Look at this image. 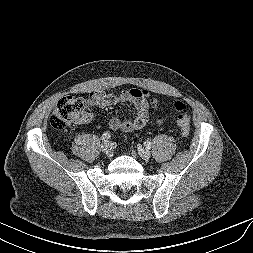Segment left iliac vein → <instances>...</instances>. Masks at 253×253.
Here are the masks:
<instances>
[{
	"instance_id": "4c4485c4",
	"label": "left iliac vein",
	"mask_w": 253,
	"mask_h": 253,
	"mask_svg": "<svg viewBox=\"0 0 253 253\" xmlns=\"http://www.w3.org/2000/svg\"><path fill=\"white\" fill-rule=\"evenodd\" d=\"M138 154L144 160H148L150 158V152L145 148H139Z\"/></svg>"
}]
</instances>
